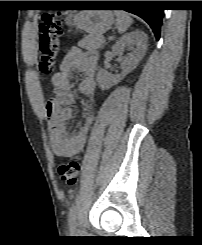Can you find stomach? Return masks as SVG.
I'll list each match as a JSON object with an SVG mask.
<instances>
[{
	"instance_id": "0dacf381",
	"label": "stomach",
	"mask_w": 202,
	"mask_h": 245,
	"mask_svg": "<svg viewBox=\"0 0 202 245\" xmlns=\"http://www.w3.org/2000/svg\"><path fill=\"white\" fill-rule=\"evenodd\" d=\"M66 23L90 35L101 36L113 25L114 14L109 10H85L77 14H69Z\"/></svg>"
}]
</instances>
